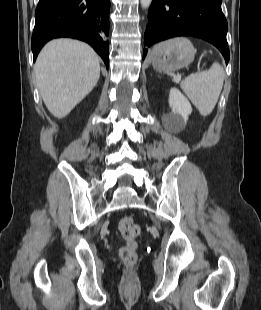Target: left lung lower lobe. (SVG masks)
<instances>
[{
  "mask_svg": "<svg viewBox=\"0 0 261 310\" xmlns=\"http://www.w3.org/2000/svg\"><path fill=\"white\" fill-rule=\"evenodd\" d=\"M222 0H153L148 12L144 45L175 36H194L216 46L229 61L226 40L227 21L221 10ZM147 49L143 51V59Z\"/></svg>",
  "mask_w": 261,
  "mask_h": 310,
  "instance_id": "left-lung-lower-lobe-1",
  "label": "left lung lower lobe"
}]
</instances>
